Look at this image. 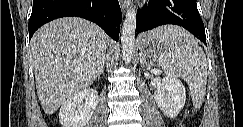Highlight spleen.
I'll use <instances>...</instances> for the list:
<instances>
[{
  "label": "spleen",
  "mask_w": 243,
  "mask_h": 127,
  "mask_svg": "<svg viewBox=\"0 0 243 127\" xmlns=\"http://www.w3.org/2000/svg\"><path fill=\"white\" fill-rule=\"evenodd\" d=\"M158 36L167 44L159 65L169 76L187 82L193 104L200 107L207 84L208 63L204 51L189 32L176 26L162 27Z\"/></svg>",
  "instance_id": "spleen-1"
}]
</instances>
